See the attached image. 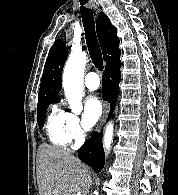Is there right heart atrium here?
I'll return each instance as SVG.
<instances>
[{
	"instance_id": "obj_1",
	"label": "right heart atrium",
	"mask_w": 178,
	"mask_h": 195,
	"mask_svg": "<svg viewBox=\"0 0 178 195\" xmlns=\"http://www.w3.org/2000/svg\"><path fill=\"white\" fill-rule=\"evenodd\" d=\"M66 126L71 141L78 143L83 139L84 133L80 126V120L77 115L67 112Z\"/></svg>"
}]
</instances>
